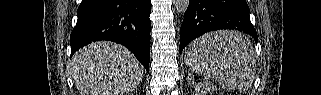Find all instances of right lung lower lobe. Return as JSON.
<instances>
[{
	"label": "right lung lower lobe",
	"mask_w": 321,
	"mask_h": 95,
	"mask_svg": "<svg viewBox=\"0 0 321 95\" xmlns=\"http://www.w3.org/2000/svg\"><path fill=\"white\" fill-rule=\"evenodd\" d=\"M151 0H82L70 36L71 55L95 41L127 47L149 72Z\"/></svg>",
	"instance_id": "1"
}]
</instances>
